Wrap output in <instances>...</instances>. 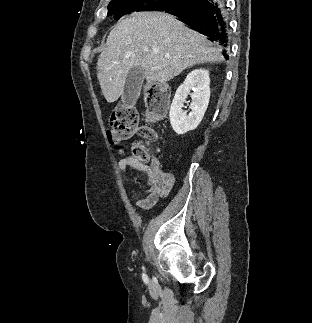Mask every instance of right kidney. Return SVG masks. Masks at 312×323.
Returning <instances> with one entry per match:
<instances>
[{
    "label": "right kidney",
    "instance_id": "ca27d5eb",
    "mask_svg": "<svg viewBox=\"0 0 312 323\" xmlns=\"http://www.w3.org/2000/svg\"><path fill=\"white\" fill-rule=\"evenodd\" d=\"M210 78L208 70L197 68L188 74L182 86L176 90L171 104L169 118L170 124L176 134H186L199 126L210 100ZM192 90V94H190ZM187 96H191L192 102L189 106L190 114L184 112V104Z\"/></svg>",
    "mask_w": 312,
    "mask_h": 323
}]
</instances>
